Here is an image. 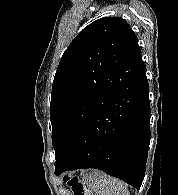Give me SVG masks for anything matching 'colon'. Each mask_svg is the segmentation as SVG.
Returning <instances> with one entry per match:
<instances>
[{
    "label": "colon",
    "instance_id": "5ec220e1",
    "mask_svg": "<svg viewBox=\"0 0 178 195\" xmlns=\"http://www.w3.org/2000/svg\"><path fill=\"white\" fill-rule=\"evenodd\" d=\"M65 180L72 188L74 195H92L76 176H67Z\"/></svg>",
    "mask_w": 178,
    "mask_h": 195
}]
</instances>
